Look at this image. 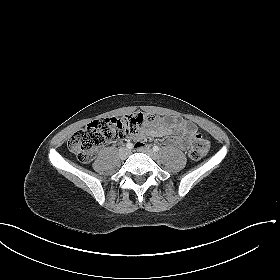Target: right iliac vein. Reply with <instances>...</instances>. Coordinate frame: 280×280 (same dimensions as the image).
Here are the masks:
<instances>
[{
  "instance_id": "63e3f726",
  "label": "right iliac vein",
  "mask_w": 280,
  "mask_h": 280,
  "mask_svg": "<svg viewBox=\"0 0 280 280\" xmlns=\"http://www.w3.org/2000/svg\"><path fill=\"white\" fill-rule=\"evenodd\" d=\"M130 155V150L129 149H127V148H121L120 150H119V157L121 158V159H126L128 156Z\"/></svg>"
}]
</instances>
